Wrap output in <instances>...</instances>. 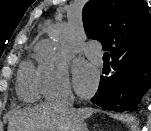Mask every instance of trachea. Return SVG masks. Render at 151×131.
Segmentation results:
<instances>
[{"label": "trachea", "mask_w": 151, "mask_h": 131, "mask_svg": "<svg viewBox=\"0 0 151 131\" xmlns=\"http://www.w3.org/2000/svg\"><path fill=\"white\" fill-rule=\"evenodd\" d=\"M103 60H104L105 62H109V60H110V55H109L108 52L104 53Z\"/></svg>", "instance_id": "1"}]
</instances>
